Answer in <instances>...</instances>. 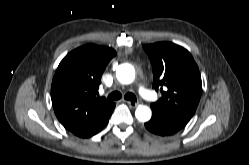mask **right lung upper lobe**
<instances>
[{
  "instance_id": "cb5924a9",
  "label": "right lung upper lobe",
  "mask_w": 249,
  "mask_h": 165,
  "mask_svg": "<svg viewBox=\"0 0 249 165\" xmlns=\"http://www.w3.org/2000/svg\"><path fill=\"white\" fill-rule=\"evenodd\" d=\"M116 55L113 48L94 44L79 47L61 61L51 86V100L60 123L73 132L106 114L111 100L97 97L101 76Z\"/></svg>"
}]
</instances>
